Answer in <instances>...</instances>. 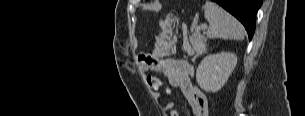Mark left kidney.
<instances>
[{
	"label": "left kidney",
	"instance_id": "left-kidney-1",
	"mask_svg": "<svg viewBox=\"0 0 305 116\" xmlns=\"http://www.w3.org/2000/svg\"><path fill=\"white\" fill-rule=\"evenodd\" d=\"M237 64L234 53L221 52L204 57L196 71V81L206 92H217L227 82Z\"/></svg>",
	"mask_w": 305,
	"mask_h": 116
}]
</instances>
